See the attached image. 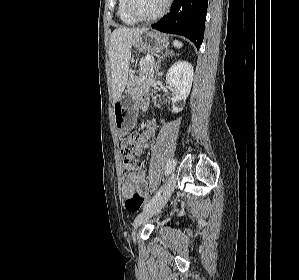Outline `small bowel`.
Returning a JSON list of instances; mask_svg holds the SVG:
<instances>
[{
  "instance_id": "small-bowel-1",
  "label": "small bowel",
  "mask_w": 299,
  "mask_h": 280,
  "mask_svg": "<svg viewBox=\"0 0 299 280\" xmlns=\"http://www.w3.org/2000/svg\"><path fill=\"white\" fill-rule=\"evenodd\" d=\"M156 129V121L151 120L147 123L141 136H137L135 144V152L137 155H140L143 150L148 147V141L154 136ZM121 191L123 197L126 199L132 197L134 194H139L146 200L148 198L149 187L145 172L142 169H137L124 174Z\"/></svg>"
}]
</instances>
